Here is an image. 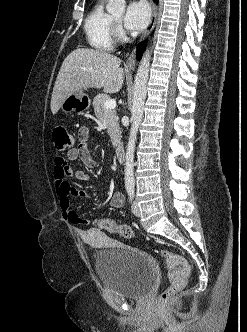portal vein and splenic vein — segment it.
I'll list each match as a JSON object with an SVG mask.
<instances>
[{
    "label": "portal vein and splenic vein",
    "mask_w": 247,
    "mask_h": 332,
    "mask_svg": "<svg viewBox=\"0 0 247 332\" xmlns=\"http://www.w3.org/2000/svg\"><path fill=\"white\" fill-rule=\"evenodd\" d=\"M106 109H114L116 107V101L113 99H108L104 103Z\"/></svg>",
    "instance_id": "1"
}]
</instances>
